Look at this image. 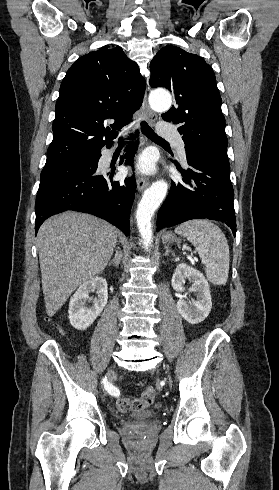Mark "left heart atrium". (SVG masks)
Returning <instances> with one entry per match:
<instances>
[{
    "label": "left heart atrium",
    "mask_w": 279,
    "mask_h": 490,
    "mask_svg": "<svg viewBox=\"0 0 279 490\" xmlns=\"http://www.w3.org/2000/svg\"><path fill=\"white\" fill-rule=\"evenodd\" d=\"M135 170L142 175H152L156 171L155 164L148 154H143L135 164Z\"/></svg>",
    "instance_id": "39dd6f15"
}]
</instances>
